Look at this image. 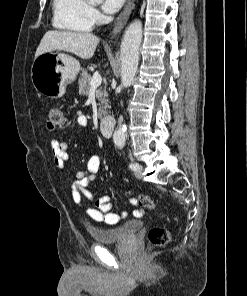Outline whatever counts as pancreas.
<instances>
[{
	"instance_id": "cf45deb5",
	"label": "pancreas",
	"mask_w": 247,
	"mask_h": 296,
	"mask_svg": "<svg viewBox=\"0 0 247 296\" xmlns=\"http://www.w3.org/2000/svg\"><path fill=\"white\" fill-rule=\"evenodd\" d=\"M90 81L91 76L88 74L86 69H83L81 76L79 78V93L82 95H88L90 91ZM107 92L103 88L96 89V98L100 102V106L98 109V117L102 118L103 115L106 113L108 107H109V101L107 99Z\"/></svg>"
}]
</instances>
